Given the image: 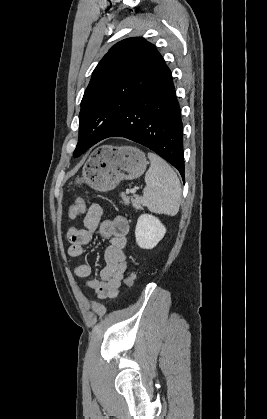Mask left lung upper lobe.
Here are the masks:
<instances>
[{
	"instance_id": "1",
	"label": "left lung upper lobe",
	"mask_w": 267,
	"mask_h": 419,
	"mask_svg": "<svg viewBox=\"0 0 267 419\" xmlns=\"http://www.w3.org/2000/svg\"><path fill=\"white\" fill-rule=\"evenodd\" d=\"M164 64L156 47L141 37L124 39L108 51L93 71L81 101L74 157L89 149L100 124L125 111Z\"/></svg>"
}]
</instances>
